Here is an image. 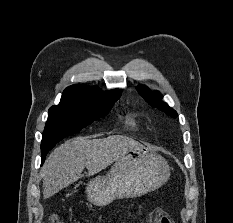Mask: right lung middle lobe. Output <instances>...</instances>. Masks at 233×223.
<instances>
[{"mask_svg": "<svg viewBox=\"0 0 233 223\" xmlns=\"http://www.w3.org/2000/svg\"><path fill=\"white\" fill-rule=\"evenodd\" d=\"M114 104H85L76 102H60L48 111L41 143L42 153L51 150L64 137L79 132L106 116Z\"/></svg>", "mask_w": 233, "mask_h": 223, "instance_id": "dd1d6c3e", "label": "right lung middle lobe"}]
</instances>
